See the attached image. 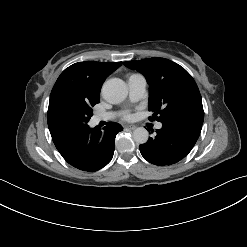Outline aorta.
Wrapping results in <instances>:
<instances>
[{"label":"aorta","instance_id":"aorta-1","mask_svg":"<svg viewBox=\"0 0 247 247\" xmlns=\"http://www.w3.org/2000/svg\"><path fill=\"white\" fill-rule=\"evenodd\" d=\"M102 93L108 101L121 102L127 97L128 89L122 79L111 78L103 84ZM148 136V131L143 127H138L133 131V139L138 144L146 143Z\"/></svg>","mask_w":247,"mask_h":247}]
</instances>
